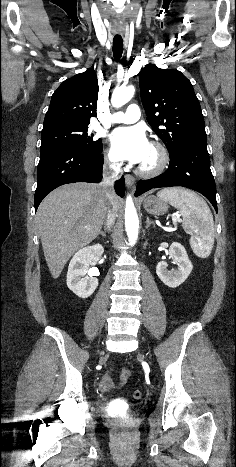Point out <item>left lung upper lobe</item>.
<instances>
[{
  "label": "left lung upper lobe",
  "instance_id": "left-lung-upper-lobe-1",
  "mask_svg": "<svg viewBox=\"0 0 236 467\" xmlns=\"http://www.w3.org/2000/svg\"><path fill=\"white\" fill-rule=\"evenodd\" d=\"M139 85L147 121L170 155L186 141L206 139L199 101L180 71L148 64L140 72Z\"/></svg>",
  "mask_w": 236,
  "mask_h": 467
}]
</instances>
